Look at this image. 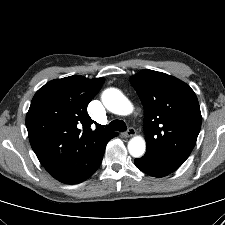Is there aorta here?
<instances>
[{"mask_svg":"<svg viewBox=\"0 0 225 225\" xmlns=\"http://www.w3.org/2000/svg\"><path fill=\"white\" fill-rule=\"evenodd\" d=\"M104 106L117 115H128L133 111L132 103L116 88L106 89L101 96ZM146 150L143 137L135 136L128 142V151L135 158L141 157Z\"/></svg>","mask_w":225,"mask_h":225,"instance_id":"1","label":"aorta"}]
</instances>
